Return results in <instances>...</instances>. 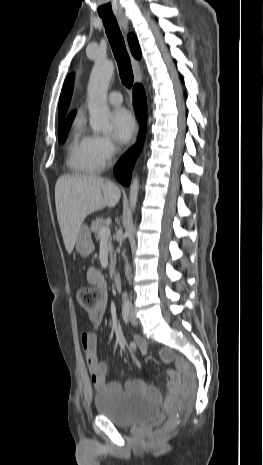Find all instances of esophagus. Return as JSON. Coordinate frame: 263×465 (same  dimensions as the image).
<instances>
[{
    "instance_id": "1",
    "label": "esophagus",
    "mask_w": 263,
    "mask_h": 465,
    "mask_svg": "<svg viewBox=\"0 0 263 465\" xmlns=\"http://www.w3.org/2000/svg\"><path fill=\"white\" fill-rule=\"evenodd\" d=\"M117 19H118L123 31L125 32V34H127L128 31H129V21H128L127 16L124 15V14H120V15L117 16ZM132 65H133V70H134V75H135V82L140 83L141 80H142V75H141V71H140V63H139L138 60H136V59H134L132 57ZM137 134H138V129H137L136 134L134 136L133 144L136 142Z\"/></svg>"
}]
</instances>
